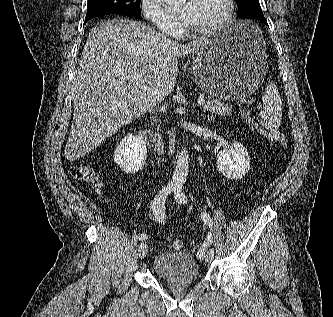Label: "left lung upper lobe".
Wrapping results in <instances>:
<instances>
[{"mask_svg":"<svg viewBox=\"0 0 333 317\" xmlns=\"http://www.w3.org/2000/svg\"><path fill=\"white\" fill-rule=\"evenodd\" d=\"M238 6L237 18H245L253 14H263L258 0H235Z\"/></svg>","mask_w":333,"mask_h":317,"instance_id":"obj_1","label":"left lung upper lobe"}]
</instances>
